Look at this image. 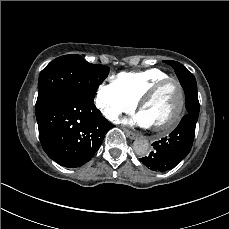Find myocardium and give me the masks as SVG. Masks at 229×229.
Here are the masks:
<instances>
[{
    "mask_svg": "<svg viewBox=\"0 0 229 229\" xmlns=\"http://www.w3.org/2000/svg\"><path fill=\"white\" fill-rule=\"evenodd\" d=\"M170 82H175L173 85L174 90V106L172 108V113L167 117V119L164 121V128H153V130L158 135H167L171 133L184 119L188 112L189 108V97L187 94V91L185 89V86L183 82L176 77H168L160 82H158L156 85H154L144 96V98L140 101L139 104V111L146 106V103L150 100V98L163 86H166ZM184 98V100H183ZM184 105V107H183ZM183 109V110H182ZM182 112V113H181Z\"/></svg>",
    "mask_w": 229,
    "mask_h": 229,
    "instance_id": "1",
    "label": "myocardium"
}]
</instances>
